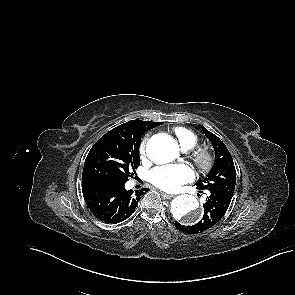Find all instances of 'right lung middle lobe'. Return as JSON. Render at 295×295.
Instances as JSON below:
<instances>
[{"label": "right lung middle lobe", "instance_id": "dd1d6c3e", "mask_svg": "<svg viewBox=\"0 0 295 295\" xmlns=\"http://www.w3.org/2000/svg\"><path fill=\"white\" fill-rule=\"evenodd\" d=\"M153 127L138 125L123 132H107L89 151L83 168L82 183H126L140 165L141 136Z\"/></svg>", "mask_w": 295, "mask_h": 295}]
</instances>
